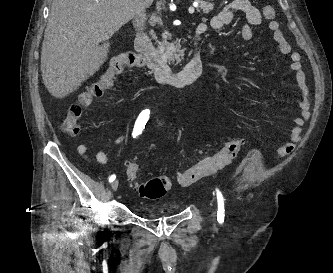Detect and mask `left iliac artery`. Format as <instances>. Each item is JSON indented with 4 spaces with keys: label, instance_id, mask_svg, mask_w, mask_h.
I'll use <instances>...</instances> for the list:
<instances>
[{
    "label": "left iliac artery",
    "instance_id": "obj_1",
    "mask_svg": "<svg viewBox=\"0 0 333 273\" xmlns=\"http://www.w3.org/2000/svg\"><path fill=\"white\" fill-rule=\"evenodd\" d=\"M217 202H218V211H217V220L219 223L224 222L225 209H224V198L222 193L218 188H216Z\"/></svg>",
    "mask_w": 333,
    "mask_h": 273
}]
</instances>
